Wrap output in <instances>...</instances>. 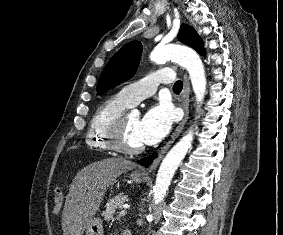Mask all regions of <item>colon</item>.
<instances>
[{"instance_id": "5ec220e1", "label": "colon", "mask_w": 283, "mask_h": 235, "mask_svg": "<svg viewBox=\"0 0 283 235\" xmlns=\"http://www.w3.org/2000/svg\"><path fill=\"white\" fill-rule=\"evenodd\" d=\"M63 198L64 196L62 190L60 188L56 189L53 199L54 211H59L61 209Z\"/></svg>"}]
</instances>
